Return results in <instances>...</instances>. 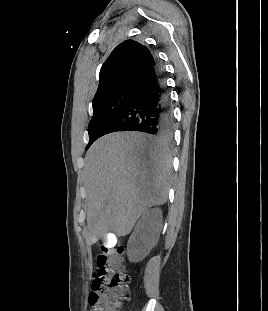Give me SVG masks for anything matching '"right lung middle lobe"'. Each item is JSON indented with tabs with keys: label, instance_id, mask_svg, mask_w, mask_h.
Segmentation results:
<instances>
[{
	"label": "right lung middle lobe",
	"instance_id": "right-lung-middle-lobe-1",
	"mask_svg": "<svg viewBox=\"0 0 268 311\" xmlns=\"http://www.w3.org/2000/svg\"><path fill=\"white\" fill-rule=\"evenodd\" d=\"M135 85L120 87L92 102L93 117L88 126L89 143L86 150L104 135L106 128L126 106L135 91Z\"/></svg>",
	"mask_w": 268,
	"mask_h": 311
}]
</instances>
